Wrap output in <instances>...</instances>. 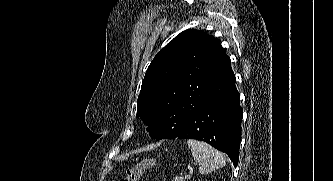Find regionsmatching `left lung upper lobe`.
Returning <instances> with one entry per match:
<instances>
[{
	"label": "left lung upper lobe",
	"instance_id": "5c2ea615",
	"mask_svg": "<svg viewBox=\"0 0 333 181\" xmlns=\"http://www.w3.org/2000/svg\"><path fill=\"white\" fill-rule=\"evenodd\" d=\"M231 69V60L213 36L181 32L153 59L142 82L137 114L154 139L171 133L168 121L198 110L213 86Z\"/></svg>",
	"mask_w": 333,
	"mask_h": 181
}]
</instances>
